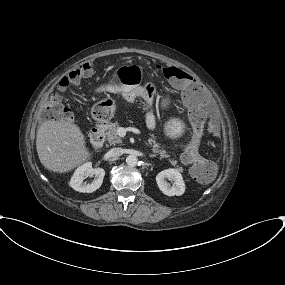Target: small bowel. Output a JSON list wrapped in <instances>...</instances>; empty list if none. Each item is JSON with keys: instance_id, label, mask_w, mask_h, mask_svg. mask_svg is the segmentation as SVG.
<instances>
[{"instance_id": "c3829d8e", "label": "small bowel", "mask_w": 285, "mask_h": 285, "mask_svg": "<svg viewBox=\"0 0 285 285\" xmlns=\"http://www.w3.org/2000/svg\"><path fill=\"white\" fill-rule=\"evenodd\" d=\"M119 90L122 92L125 100L129 103H133L138 98H142L147 102L152 101L151 96L148 94L146 90L134 85L133 83L125 85L121 87ZM146 126L149 130H152L155 126L154 116L150 112L146 113ZM212 177L213 174L206 181L211 180Z\"/></svg>"}]
</instances>
